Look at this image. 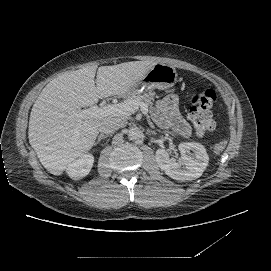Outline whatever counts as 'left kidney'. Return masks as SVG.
<instances>
[{
    "mask_svg": "<svg viewBox=\"0 0 271 271\" xmlns=\"http://www.w3.org/2000/svg\"><path fill=\"white\" fill-rule=\"evenodd\" d=\"M180 159H170L165 149L155 152V161L164 173L176 180L191 181L198 179L208 164L206 148L198 143L183 142L178 144Z\"/></svg>",
    "mask_w": 271,
    "mask_h": 271,
    "instance_id": "5707ae66",
    "label": "left kidney"
}]
</instances>
